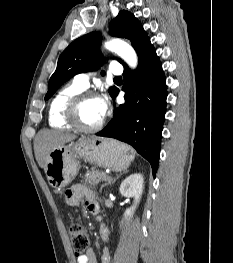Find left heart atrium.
<instances>
[{"label": "left heart atrium", "instance_id": "obj_1", "mask_svg": "<svg viewBox=\"0 0 233 263\" xmlns=\"http://www.w3.org/2000/svg\"><path fill=\"white\" fill-rule=\"evenodd\" d=\"M98 101H99L100 114H101L102 117H104V115L107 112L108 105H109L108 98L103 96V97L98 98Z\"/></svg>", "mask_w": 233, "mask_h": 263}]
</instances>
